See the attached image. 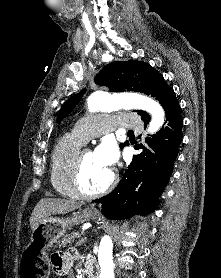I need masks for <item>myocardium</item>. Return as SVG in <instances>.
<instances>
[{"instance_id": "f54148a6", "label": "myocardium", "mask_w": 221, "mask_h": 278, "mask_svg": "<svg viewBox=\"0 0 221 278\" xmlns=\"http://www.w3.org/2000/svg\"><path fill=\"white\" fill-rule=\"evenodd\" d=\"M88 153H92L91 149L89 148L79 149L72 160V163L70 165V170H69L70 187L73 193L78 198L81 199H93L102 196L108 193L116 185L117 182V174L115 170L112 169L110 179L103 188L93 192L87 191L83 187L81 182V169H82L83 160Z\"/></svg>"}]
</instances>
